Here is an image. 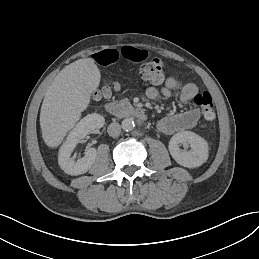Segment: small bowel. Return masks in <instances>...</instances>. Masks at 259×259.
<instances>
[{"label":"small bowel","instance_id":"c3829d8e","mask_svg":"<svg viewBox=\"0 0 259 259\" xmlns=\"http://www.w3.org/2000/svg\"><path fill=\"white\" fill-rule=\"evenodd\" d=\"M147 56L148 51L146 49L126 45L119 49L101 50L92 57L98 65L108 66L117 62L120 58L139 62L146 59ZM175 92L179 93L180 101L183 104H188L198 94L199 89L194 83H182L175 77H169L160 89L150 87L147 89L146 94L150 99H155L160 95L171 97ZM200 118L201 110L199 108H191L178 114L160 118L156 122V128L162 134L171 135L198 126Z\"/></svg>","mask_w":259,"mask_h":259}]
</instances>
